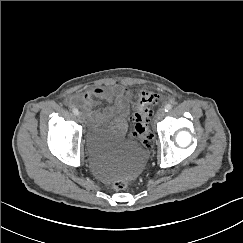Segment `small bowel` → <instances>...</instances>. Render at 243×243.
I'll list each match as a JSON object with an SVG mask.
<instances>
[{
	"label": "small bowel",
	"instance_id": "small-bowel-1",
	"mask_svg": "<svg viewBox=\"0 0 243 243\" xmlns=\"http://www.w3.org/2000/svg\"><path fill=\"white\" fill-rule=\"evenodd\" d=\"M106 106L95 109L100 102ZM69 105L80 107L95 120L113 118L122 132L127 128V117L130 112L131 93L120 85L92 86L84 92L73 94L68 99Z\"/></svg>",
	"mask_w": 243,
	"mask_h": 243
}]
</instances>
